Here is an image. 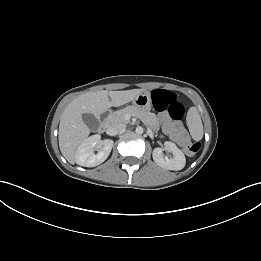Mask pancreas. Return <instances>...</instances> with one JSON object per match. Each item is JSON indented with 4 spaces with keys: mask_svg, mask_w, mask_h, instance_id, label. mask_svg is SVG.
Here are the masks:
<instances>
[{
    "mask_svg": "<svg viewBox=\"0 0 261 261\" xmlns=\"http://www.w3.org/2000/svg\"><path fill=\"white\" fill-rule=\"evenodd\" d=\"M127 115L137 116L145 123H151L152 120L156 119L153 113L146 112L135 106H127L124 109L111 113L107 117V122L108 124L129 123V119L126 118Z\"/></svg>",
    "mask_w": 261,
    "mask_h": 261,
    "instance_id": "1",
    "label": "pancreas"
}]
</instances>
